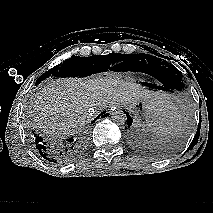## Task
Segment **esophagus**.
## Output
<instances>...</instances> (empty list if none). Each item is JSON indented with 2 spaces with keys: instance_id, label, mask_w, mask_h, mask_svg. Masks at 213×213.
<instances>
[{
  "instance_id": "1",
  "label": "esophagus",
  "mask_w": 213,
  "mask_h": 213,
  "mask_svg": "<svg viewBox=\"0 0 213 213\" xmlns=\"http://www.w3.org/2000/svg\"><path fill=\"white\" fill-rule=\"evenodd\" d=\"M117 107L120 108V106H116V105L112 106L111 109H110L111 110L110 112H114L117 109Z\"/></svg>"
}]
</instances>
